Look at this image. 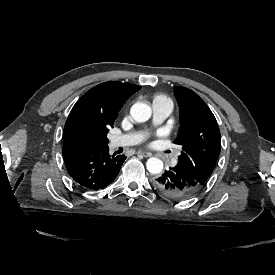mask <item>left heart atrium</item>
<instances>
[{
  "label": "left heart atrium",
  "mask_w": 275,
  "mask_h": 275,
  "mask_svg": "<svg viewBox=\"0 0 275 275\" xmlns=\"http://www.w3.org/2000/svg\"><path fill=\"white\" fill-rule=\"evenodd\" d=\"M157 135H158V136H163V135H164V132L160 131V132L157 133ZM150 139H151V135H150V134H145L144 140H145V141H148V140H150Z\"/></svg>",
  "instance_id": "obj_1"
}]
</instances>
